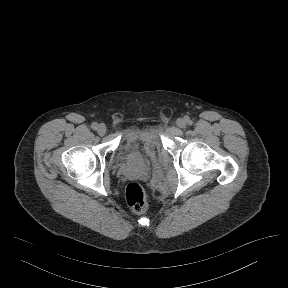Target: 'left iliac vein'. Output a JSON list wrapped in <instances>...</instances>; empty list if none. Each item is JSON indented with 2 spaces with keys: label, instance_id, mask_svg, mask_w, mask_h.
I'll use <instances>...</instances> for the list:
<instances>
[{
  "label": "left iliac vein",
  "instance_id": "1",
  "mask_svg": "<svg viewBox=\"0 0 288 288\" xmlns=\"http://www.w3.org/2000/svg\"><path fill=\"white\" fill-rule=\"evenodd\" d=\"M176 124L180 128H185L186 125H187V122H186V120L184 118H178L177 121H176Z\"/></svg>",
  "mask_w": 288,
  "mask_h": 288
}]
</instances>
